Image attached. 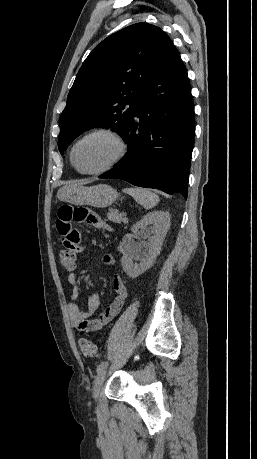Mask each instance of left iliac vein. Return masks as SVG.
<instances>
[{
	"mask_svg": "<svg viewBox=\"0 0 257 459\" xmlns=\"http://www.w3.org/2000/svg\"><path fill=\"white\" fill-rule=\"evenodd\" d=\"M107 369L102 370L96 377L93 386V397L97 400L99 397L100 389L106 378Z\"/></svg>",
	"mask_w": 257,
	"mask_h": 459,
	"instance_id": "obj_1",
	"label": "left iliac vein"
}]
</instances>
